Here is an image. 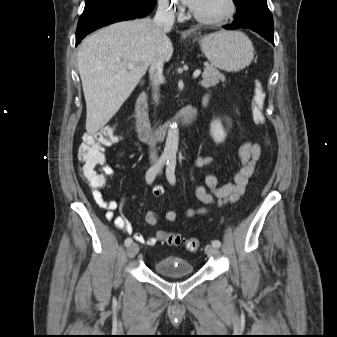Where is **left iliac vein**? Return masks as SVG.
Returning a JSON list of instances; mask_svg holds the SVG:
<instances>
[{
    "mask_svg": "<svg viewBox=\"0 0 337 337\" xmlns=\"http://www.w3.org/2000/svg\"><path fill=\"white\" fill-rule=\"evenodd\" d=\"M205 252L209 256H217V255H219L218 248L215 247V246H213V245H207L206 248H205Z\"/></svg>",
    "mask_w": 337,
    "mask_h": 337,
    "instance_id": "4c4485c4",
    "label": "left iliac vein"
}]
</instances>
